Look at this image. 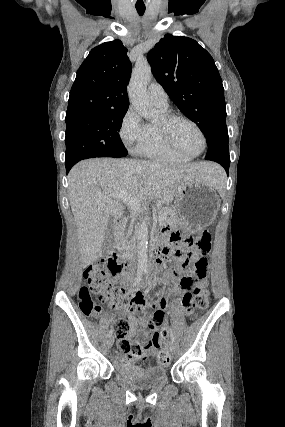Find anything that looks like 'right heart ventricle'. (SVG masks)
<instances>
[{
    "label": "right heart ventricle",
    "instance_id": "1",
    "mask_svg": "<svg viewBox=\"0 0 285 427\" xmlns=\"http://www.w3.org/2000/svg\"><path fill=\"white\" fill-rule=\"evenodd\" d=\"M158 108L162 113H168L167 108ZM138 154L164 162L181 163L190 160V158L175 152L167 145V143L162 138L160 132L158 131L156 123L146 124L145 140L140 150L138 151Z\"/></svg>",
    "mask_w": 285,
    "mask_h": 427
}]
</instances>
